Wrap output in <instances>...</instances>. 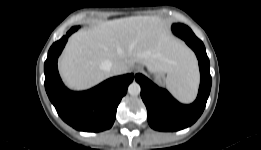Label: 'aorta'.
Segmentation results:
<instances>
[{
    "label": "aorta",
    "mask_w": 261,
    "mask_h": 150,
    "mask_svg": "<svg viewBox=\"0 0 261 150\" xmlns=\"http://www.w3.org/2000/svg\"><path fill=\"white\" fill-rule=\"evenodd\" d=\"M141 87L137 82H132L128 87V93L130 95H138L140 94Z\"/></svg>",
    "instance_id": "obj_1"
}]
</instances>
